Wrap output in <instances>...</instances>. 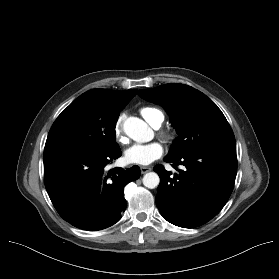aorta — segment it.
Returning <instances> with one entry per match:
<instances>
[{"label": "aorta", "mask_w": 279, "mask_h": 279, "mask_svg": "<svg viewBox=\"0 0 279 279\" xmlns=\"http://www.w3.org/2000/svg\"><path fill=\"white\" fill-rule=\"evenodd\" d=\"M124 132L127 136L136 142H146L150 139L151 129L141 119L137 117H129L123 125ZM143 185L149 189L156 188L160 183V178L157 173H146L142 179Z\"/></svg>", "instance_id": "obj_1"}]
</instances>
